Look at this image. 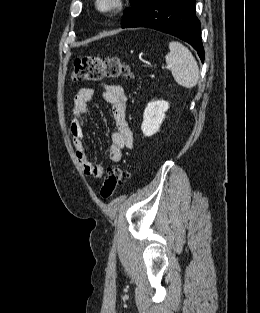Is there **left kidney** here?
I'll use <instances>...</instances> for the list:
<instances>
[{
	"label": "left kidney",
	"instance_id": "obj_1",
	"mask_svg": "<svg viewBox=\"0 0 260 313\" xmlns=\"http://www.w3.org/2000/svg\"><path fill=\"white\" fill-rule=\"evenodd\" d=\"M168 109L169 103L164 100L151 101L147 104L141 125L145 136H152L159 131Z\"/></svg>",
	"mask_w": 260,
	"mask_h": 313
}]
</instances>
